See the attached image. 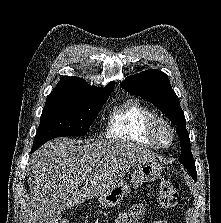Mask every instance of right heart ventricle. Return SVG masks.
<instances>
[{
  "label": "right heart ventricle",
  "mask_w": 221,
  "mask_h": 223,
  "mask_svg": "<svg viewBox=\"0 0 221 223\" xmlns=\"http://www.w3.org/2000/svg\"><path fill=\"white\" fill-rule=\"evenodd\" d=\"M154 111L138 98H129L112 108L108 116L105 135L108 139L121 142H135L150 147L145 129Z\"/></svg>",
  "instance_id": "1"
}]
</instances>
